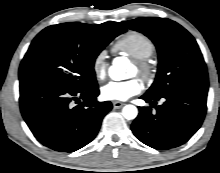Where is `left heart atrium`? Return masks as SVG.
I'll list each match as a JSON object with an SVG mask.
<instances>
[{
  "mask_svg": "<svg viewBox=\"0 0 220 173\" xmlns=\"http://www.w3.org/2000/svg\"><path fill=\"white\" fill-rule=\"evenodd\" d=\"M138 79L127 81H111L101 88L102 97L111 101H125L141 91Z\"/></svg>",
  "mask_w": 220,
  "mask_h": 173,
  "instance_id": "39dd6f15",
  "label": "left heart atrium"
}]
</instances>
